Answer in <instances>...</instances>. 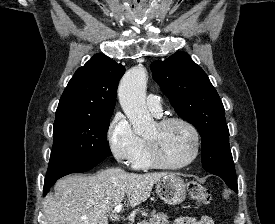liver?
I'll list each match as a JSON object with an SVG mask.
<instances>
[{
    "instance_id": "obj_1",
    "label": "liver",
    "mask_w": 275,
    "mask_h": 224,
    "mask_svg": "<svg viewBox=\"0 0 275 224\" xmlns=\"http://www.w3.org/2000/svg\"><path fill=\"white\" fill-rule=\"evenodd\" d=\"M166 175L165 172L127 173L119 168L94 176L69 175L57 181L55 194L49 193L43 201L47 222L108 224V216L115 206L140 205L150 197L153 185Z\"/></svg>"
}]
</instances>
